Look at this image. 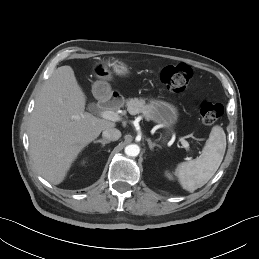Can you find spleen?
Here are the masks:
<instances>
[{
  "label": "spleen",
  "mask_w": 259,
  "mask_h": 259,
  "mask_svg": "<svg viewBox=\"0 0 259 259\" xmlns=\"http://www.w3.org/2000/svg\"><path fill=\"white\" fill-rule=\"evenodd\" d=\"M226 150V135L222 127L212 128L202 154L177 165L175 175L183 189L194 192L204 186L218 170Z\"/></svg>",
  "instance_id": "1"
}]
</instances>
